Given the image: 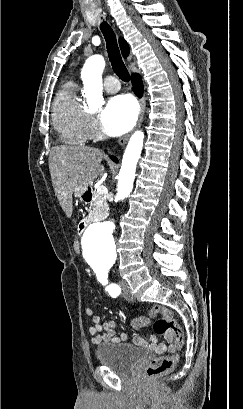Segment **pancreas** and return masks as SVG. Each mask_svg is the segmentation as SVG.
I'll return each mask as SVG.
<instances>
[{
  "instance_id": "pancreas-1",
  "label": "pancreas",
  "mask_w": 243,
  "mask_h": 409,
  "mask_svg": "<svg viewBox=\"0 0 243 409\" xmlns=\"http://www.w3.org/2000/svg\"><path fill=\"white\" fill-rule=\"evenodd\" d=\"M93 201L91 204V211L89 217L92 220H104L108 215V204L104 200L103 196L99 194L97 191L93 192Z\"/></svg>"
}]
</instances>
